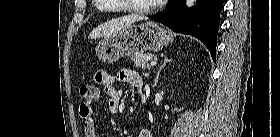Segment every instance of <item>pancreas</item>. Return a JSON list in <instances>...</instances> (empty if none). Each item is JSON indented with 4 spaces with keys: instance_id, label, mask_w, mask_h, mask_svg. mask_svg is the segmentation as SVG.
<instances>
[{
    "instance_id": "1",
    "label": "pancreas",
    "mask_w": 280,
    "mask_h": 137,
    "mask_svg": "<svg viewBox=\"0 0 280 137\" xmlns=\"http://www.w3.org/2000/svg\"><path fill=\"white\" fill-rule=\"evenodd\" d=\"M156 59L154 54H142L133 57V61L136 67L145 69L149 67V61Z\"/></svg>"
}]
</instances>
